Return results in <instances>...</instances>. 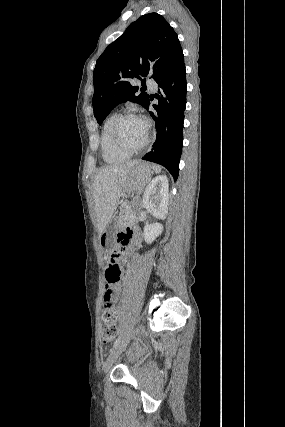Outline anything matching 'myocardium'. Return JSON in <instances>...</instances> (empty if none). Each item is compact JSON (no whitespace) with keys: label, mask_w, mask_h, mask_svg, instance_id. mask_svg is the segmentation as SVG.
I'll use <instances>...</instances> for the list:
<instances>
[{"label":"myocardium","mask_w":285,"mask_h":427,"mask_svg":"<svg viewBox=\"0 0 285 427\" xmlns=\"http://www.w3.org/2000/svg\"><path fill=\"white\" fill-rule=\"evenodd\" d=\"M129 118L140 119L146 125V136H145L143 142L139 146L134 147V148H130L127 145H125L122 142V140L120 138V135H119V128H120L121 123L124 120L129 119ZM111 139H112V142H113L114 146L117 149H119L120 151H122L124 153H127V154L138 153L141 150H143L147 146V144L149 143V125H148V123L146 121H144L136 113H133V112H124V113H121V114L117 115V117L115 118V120H114V122L112 124V127H111Z\"/></svg>","instance_id":"f54148a6"}]
</instances>
